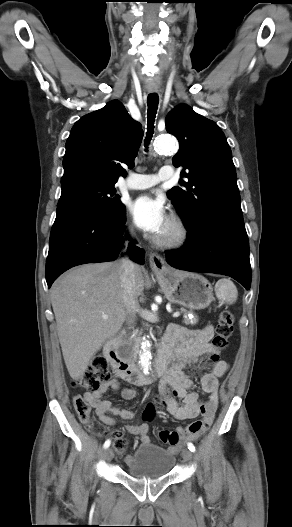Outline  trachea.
<instances>
[{"label":"trachea","mask_w":292,"mask_h":527,"mask_svg":"<svg viewBox=\"0 0 292 527\" xmlns=\"http://www.w3.org/2000/svg\"><path fill=\"white\" fill-rule=\"evenodd\" d=\"M158 103L159 98L156 93H152L148 95L147 98V105H148V111H147V133H146V139L145 144L146 146L149 144L153 133H154V122L155 117L158 109Z\"/></svg>","instance_id":"1"}]
</instances>
